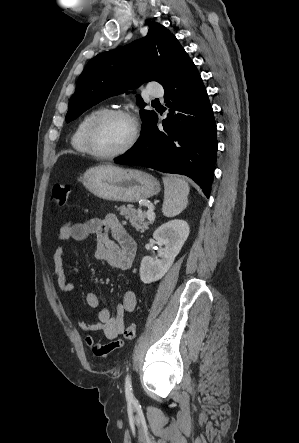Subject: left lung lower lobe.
Returning <instances> with one entry per match:
<instances>
[{"mask_svg":"<svg viewBox=\"0 0 299 443\" xmlns=\"http://www.w3.org/2000/svg\"><path fill=\"white\" fill-rule=\"evenodd\" d=\"M164 90L169 113L162 121L163 129H158L155 113L135 146L114 161L186 175L209 198L217 153L216 123L194 63Z\"/></svg>","mask_w":299,"mask_h":443,"instance_id":"left-lung-lower-lobe-1","label":"left lung lower lobe"}]
</instances>
